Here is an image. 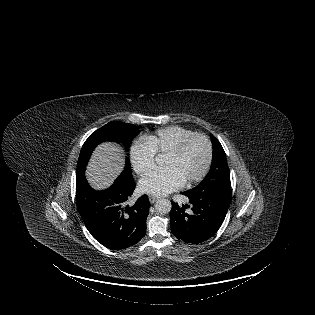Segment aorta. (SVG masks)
Segmentation results:
<instances>
[{"label":"aorta","mask_w":315,"mask_h":315,"mask_svg":"<svg viewBox=\"0 0 315 315\" xmlns=\"http://www.w3.org/2000/svg\"><path fill=\"white\" fill-rule=\"evenodd\" d=\"M172 204L168 199H159L155 203V209L158 213L167 214L171 211Z\"/></svg>","instance_id":"aorta-1"}]
</instances>
